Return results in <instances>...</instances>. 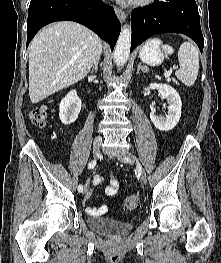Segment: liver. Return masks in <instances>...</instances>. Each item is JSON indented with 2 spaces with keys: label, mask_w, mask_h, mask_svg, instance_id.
Masks as SVG:
<instances>
[{
  "label": "liver",
  "mask_w": 221,
  "mask_h": 263,
  "mask_svg": "<svg viewBox=\"0 0 221 263\" xmlns=\"http://www.w3.org/2000/svg\"><path fill=\"white\" fill-rule=\"evenodd\" d=\"M102 42L91 30L63 21L44 28L29 51V97L33 104L87 76Z\"/></svg>",
  "instance_id": "obj_1"
}]
</instances>
